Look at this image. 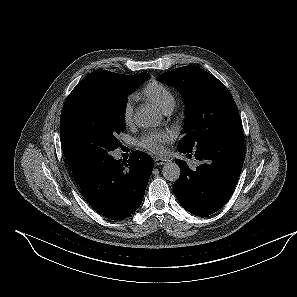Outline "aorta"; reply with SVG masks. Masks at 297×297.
Returning <instances> with one entry per match:
<instances>
[{"instance_id":"aorta-1","label":"aorta","mask_w":297,"mask_h":297,"mask_svg":"<svg viewBox=\"0 0 297 297\" xmlns=\"http://www.w3.org/2000/svg\"><path fill=\"white\" fill-rule=\"evenodd\" d=\"M135 122L143 127H154L160 122V118L156 110L149 106L140 107L135 115ZM162 174L168 181H176L180 177V168L175 162L166 163L162 168Z\"/></svg>"}]
</instances>
